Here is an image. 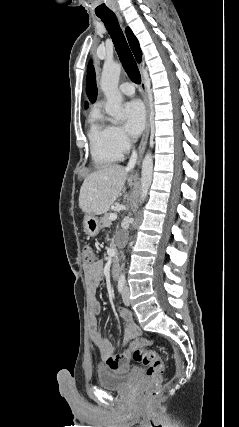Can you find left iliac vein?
Instances as JSON below:
<instances>
[{"instance_id": "1", "label": "left iliac vein", "mask_w": 239, "mask_h": 427, "mask_svg": "<svg viewBox=\"0 0 239 427\" xmlns=\"http://www.w3.org/2000/svg\"><path fill=\"white\" fill-rule=\"evenodd\" d=\"M123 302L125 305H129L130 304V299H129V288L128 286L124 287V291H123Z\"/></svg>"}]
</instances>
